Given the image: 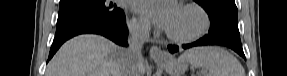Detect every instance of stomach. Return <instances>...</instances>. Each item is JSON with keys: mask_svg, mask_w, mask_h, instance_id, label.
<instances>
[{"mask_svg": "<svg viewBox=\"0 0 287 76\" xmlns=\"http://www.w3.org/2000/svg\"><path fill=\"white\" fill-rule=\"evenodd\" d=\"M157 65L163 67L170 76H182L187 70V62L173 57L165 61H156Z\"/></svg>", "mask_w": 287, "mask_h": 76, "instance_id": "0dacf381", "label": "stomach"}]
</instances>
